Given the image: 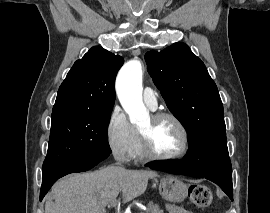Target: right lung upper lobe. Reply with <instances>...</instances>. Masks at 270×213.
<instances>
[{
  "instance_id": "1",
  "label": "right lung upper lobe",
  "mask_w": 270,
  "mask_h": 213,
  "mask_svg": "<svg viewBox=\"0 0 270 213\" xmlns=\"http://www.w3.org/2000/svg\"><path fill=\"white\" fill-rule=\"evenodd\" d=\"M124 60L100 46L77 60L59 87L52 112L112 111L115 78Z\"/></svg>"
}]
</instances>
